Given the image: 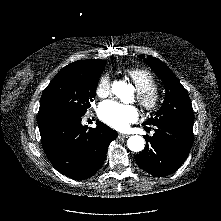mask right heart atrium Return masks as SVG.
I'll list each match as a JSON object with an SVG mask.
<instances>
[{"instance_id":"d8ad5b80","label":"right heart atrium","mask_w":221,"mask_h":221,"mask_svg":"<svg viewBox=\"0 0 221 221\" xmlns=\"http://www.w3.org/2000/svg\"><path fill=\"white\" fill-rule=\"evenodd\" d=\"M112 89V79L108 73H104L98 79L96 93L98 96H107Z\"/></svg>"}]
</instances>
